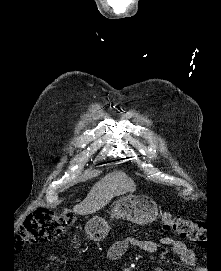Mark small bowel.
Returning a JSON list of instances; mask_svg holds the SVG:
<instances>
[{
    "mask_svg": "<svg viewBox=\"0 0 221 271\" xmlns=\"http://www.w3.org/2000/svg\"><path fill=\"white\" fill-rule=\"evenodd\" d=\"M161 243L171 248L177 254L182 262L188 266L193 267L196 264L195 253L191 248H188L181 240L165 237L161 239ZM130 246L139 248L145 253H155L157 251V244L149 239H140L136 237H126L115 241L107 252V259L117 260L121 258ZM123 271H129L124 269ZM156 271H163L162 268H157Z\"/></svg>",
    "mask_w": 221,
    "mask_h": 271,
    "instance_id": "obj_1",
    "label": "small bowel"
}]
</instances>
